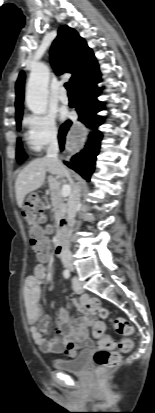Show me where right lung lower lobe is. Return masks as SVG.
I'll use <instances>...</instances> for the list:
<instances>
[{"label": "right lung lower lobe", "mask_w": 155, "mask_h": 413, "mask_svg": "<svg viewBox=\"0 0 155 413\" xmlns=\"http://www.w3.org/2000/svg\"><path fill=\"white\" fill-rule=\"evenodd\" d=\"M100 76L101 74L98 72L86 78L74 88L78 100L76 111L79 115V121L83 122L88 128H95V130L89 135V141L84 150L73 156L70 163L65 162L68 167L78 172L88 181L94 171L96 156L99 153L102 139V134L96 129L103 123V118L97 115L104 108L103 103L97 100L101 93V88L97 87ZM70 126L71 121H66L59 130L58 138L61 149L64 148L65 135ZM93 133L97 134L94 135Z\"/></svg>", "instance_id": "98d812e1"}]
</instances>
